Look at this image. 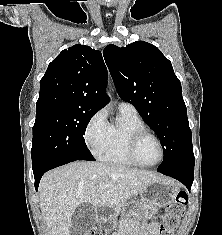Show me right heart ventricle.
<instances>
[{
	"label": "right heart ventricle",
	"mask_w": 222,
	"mask_h": 235,
	"mask_svg": "<svg viewBox=\"0 0 222 235\" xmlns=\"http://www.w3.org/2000/svg\"><path fill=\"white\" fill-rule=\"evenodd\" d=\"M146 126L137 112H129L119 109L116 120L108 124L107 138L102 149L97 154L105 162L135 166L129 158L127 144L132 133L145 130Z\"/></svg>",
	"instance_id": "1"
}]
</instances>
